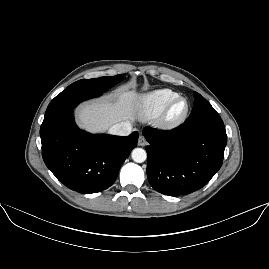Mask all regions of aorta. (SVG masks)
I'll use <instances>...</instances> for the list:
<instances>
[{"mask_svg":"<svg viewBox=\"0 0 269 269\" xmlns=\"http://www.w3.org/2000/svg\"><path fill=\"white\" fill-rule=\"evenodd\" d=\"M147 154L146 151L142 148H135L132 151V159L137 163H142L146 160Z\"/></svg>","mask_w":269,"mask_h":269,"instance_id":"1","label":"aorta"}]
</instances>
